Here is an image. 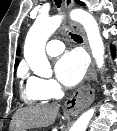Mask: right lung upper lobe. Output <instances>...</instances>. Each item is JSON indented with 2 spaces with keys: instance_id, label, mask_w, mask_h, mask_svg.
I'll use <instances>...</instances> for the list:
<instances>
[{
  "instance_id": "1",
  "label": "right lung upper lobe",
  "mask_w": 117,
  "mask_h": 131,
  "mask_svg": "<svg viewBox=\"0 0 117 131\" xmlns=\"http://www.w3.org/2000/svg\"><path fill=\"white\" fill-rule=\"evenodd\" d=\"M17 55H19V49L17 50ZM18 63H19V60H18V59H16L15 66H17V65H18Z\"/></svg>"
}]
</instances>
